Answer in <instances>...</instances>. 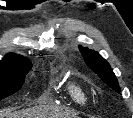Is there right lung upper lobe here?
<instances>
[{
  "label": "right lung upper lobe",
  "mask_w": 133,
  "mask_h": 118,
  "mask_svg": "<svg viewBox=\"0 0 133 118\" xmlns=\"http://www.w3.org/2000/svg\"><path fill=\"white\" fill-rule=\"evenodd\" d=\"M20 66H32V63L29 61L28 58L23 57L18 54H7L1 61H0V69L2 68H16Z\"/></svg>",
  "instance_id": "right-lung-upper-lobe-1"
}]
</instances>
